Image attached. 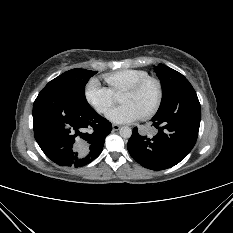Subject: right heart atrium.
I'll return each mask as SVG.
<instances>
[{
	"instance_id": "right-heart-atrium-1",
	"label": "right heart atrium",
	"mask_w": 233,
	"mask_h": 233,
	"mask_svg": "<svg viewBox=\"0 0 233 233\" xmlns=\"http://www.w3.org/2000/svg\"><path fill=\"white\" fill-rule=\"evenodd\" d=\"M85 99L99 114H105L114 103L113 92L100 85L97 79H91L85 86Z\"/></svg>"
}]
</instances>
